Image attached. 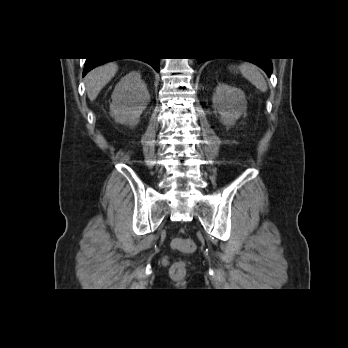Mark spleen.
<instances>
[{
	"instance_id": "1",
	"label": "spleen",
	"mask_w": 348,
	"mask_h": 348,
	"mask_svg": "<svg viewBox=\"0 0 348 348\" xmlns=\"http://www.w3.org/2000/svg\"><path fill=\"white\" fill-rule=\"evenodd\" d=\"M238 69L240 73L248 80L250 81L258 90L261 92H266L268 87L267 83L263 77V75L260 73L257 66L251 64V63H242L238 66Z\"/></svg>"
}]
</instances>
